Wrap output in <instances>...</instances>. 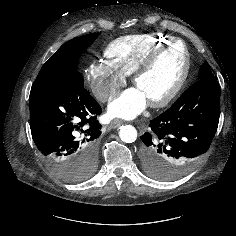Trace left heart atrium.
Masks as SVG:
<instances>
[{
  "label": "left heart atrium",
  "instance_id": "1",
  "mask_svg": "<svg viewBox=\"0 0 236 236\" xmlns=\"http://www.w3.org/2000/svg\"><path fill=\"white\" fill-rule=\"evenodd\" d=\"M147 104V98L137 87L125 90L108 106V116L131 119L140 114Z\"/></svg>",
  "mask_w": 236,
  "mask_h": 236
}]
</instances>
